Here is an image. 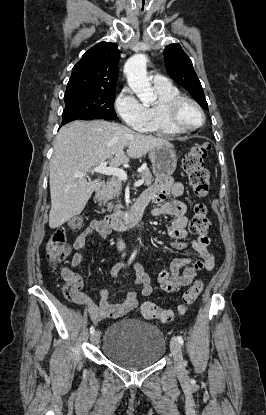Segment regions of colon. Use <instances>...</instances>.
Returning a JSON list of instances; mask_svg holds the SVG:
<instances>
[{
	"label": "colon",
	"mask_w": 266,
	"mask_h": 415,
	"mask_svg": "<svg viewBox=\"0 0 266 415\" xmlns=\"http://www.w3.org/2000/svg\"><path fill=\"white\" fill-rule=\"evenodd\" d=\"M208 143L196 144L191 147L189 152L185 154L182 160V168L188 176L189 184L197 197L203 198L209 192V174L204 168L203 162L209 152ZM83 225V218L81 216L72 217L67 223V229L71 231L79 230ZM210 227L207 217V209L203 204H197L194 208V215L189 225V230L198 236H206ZM70 252V245L66 239L65 229L56 230L50 237L46 245V257L53 263L58 264L62 262ZM65 284L63 286V293L69 300H73L77 294V287L73 275L63 270L62 271ZM203 290V283L196 281L183 295L182 303L177 309V314H185L188 306L193 304ZM139 311L144 318L159 319L162 322H171L175 318V313L171 310L161 309L156 304L151 302L143 303Z\"/></svg>",
	"instance_id": "obj_1"
}]
</instances>
